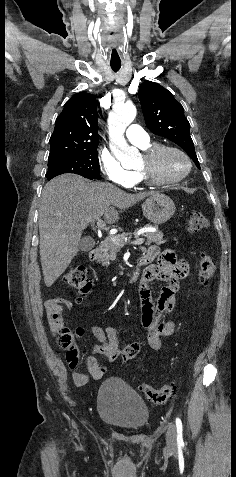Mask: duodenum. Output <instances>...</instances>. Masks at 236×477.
Segmentation results:
<instances>
[{"mask_svg":"<svg viewBox=\"0 0 236 477\" xmlns=\"http://www.w3.org/2000/svg\"><path fill=\"white\" fill-rule=\"evenodd\" d=\"M89 258L91 261H95L97 260L98 258V248H93L90 253H89ZM148 263V261L144 258H139L137 260V268L136 270L133 272V274L131 275L130 279H129V283H132V284H142L143 281H144V278H143V272H142V267L144 265H146Z\"/></svg>","mask_w":236,"mask_h":477,"instance_id":"obj_1","label":"duodenum"}]
</instances>
